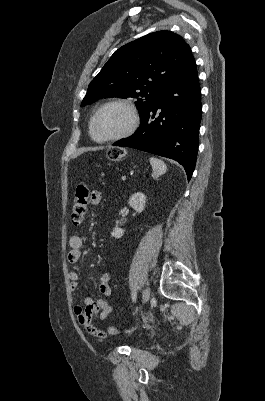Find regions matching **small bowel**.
Here are the masks:
<instances>
[{"mask_svg":"<svg viewBox=\"0 0 265 401\" xmlns=\"http://www.w3.org/2000/svg\"><path fill=\"white\" fill-rule=\"evenodd\" d=\"M91 205L96 206L101 202V193L99 191H92L89 197ZM70 251L67 255V260L71 264L79 262L81 257V249L83 247V239L79 235H72L69 239ZM70 288L75 290L78 286L79 274L77 271H71L69 273ZM111 275L108 272H104L98 277V289L101 295L107 297L111 295L110 286ZM85 308L77 305L74 307V313L78 318V321L85 328L90 323L93 325V319L98 316L100 319H106L112 311L111 306L104 300L94 297H86L84 299ZM101 331V330H100ZM102 335L97 337L100 340H104L107 334L101 331Z\"/></svg>","mask_w":265,"mask_h":401,"instance_id":"c3829d8e","label":"small bowel"}]
</instances>
